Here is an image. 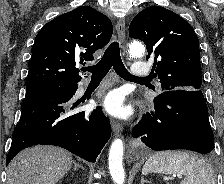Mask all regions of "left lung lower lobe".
<instances>
[{
  "instance_id": "0a47b994",
  "label": "left lung lower lobe",
  "mask_w": 224,
  "mask_h": 184,
  "mask_svg": "<svg viewBox=\"0 0 224 184\" xmlns=\"http://www.w3.org/2000/svg\"><path fill=\"white\" fill-rule=\"evenodd\" d=\"M154 112L146 113L132 130L153 150L186 149L202 154L214 149L208 109L200 90L163 91L154 99Z\"/></svg>"
}]
</instances>
